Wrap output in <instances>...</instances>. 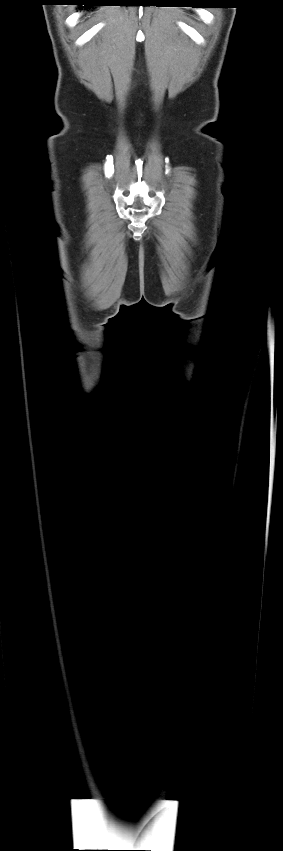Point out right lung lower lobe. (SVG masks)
<instances>
[{"label":"right lung lower lobe","instance_id":"obj_1","mask_svg":"<svg viewBox=\"0 0 283 851\" xmlns=\"http://www.w3.org/2000/svg\"><path fill=\"white\" fill-rule=\"evenodd\" d=\"M75 1H79V5H84V6L99 5V4H96V3H98V0H75Z\"/></svg>","mask_w":283,"mask_h":851}]
</instances>
